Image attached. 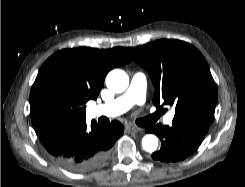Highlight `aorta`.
<instances>
[{"label":"aorta","instance_id":"aorta-1","mask_svg":"<svg viewBox=\"0 0 245 187\" xmlns=\"http://www.w3.org/2000/svg\"><path fill=\"white\" fill-rule=\"evenodd\" d=\"M106 85L113 92H123L129 85V77L123 70H112L106 77ZM142 147L147 152H154L158 147V138L152 134L145 135L142 139Z\"/></svg>","mask_w":245,"mask_h":187}]
</instances>
